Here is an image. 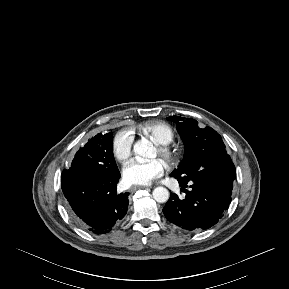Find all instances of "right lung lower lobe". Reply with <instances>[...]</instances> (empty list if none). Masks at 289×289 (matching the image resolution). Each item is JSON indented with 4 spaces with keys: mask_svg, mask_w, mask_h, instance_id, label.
<instances>
[{
    "mask_svg": "<svg viewBox=\"0 0 289 289\" xmlns=\"http://www.w3.org/2000/svg\"><path fill=\"white\" fill-rule=\"evenodd\" d=\"M119 178L118 168L104 175L63 171L66 207L80 227L95 234L108 233L126 215L129 193H117Z\"/></svg>",
    "mask_w": 289,
    "mask_h": 289,
    "instance_id": "right-lung-lower-lobe-1",
    "label": "right lung lower lobe"
}]
</instances>
